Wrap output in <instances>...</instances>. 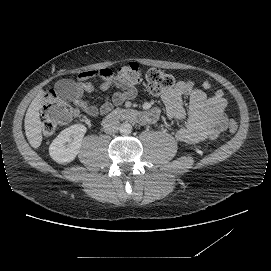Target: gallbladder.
Masks as SVG:
<instances>
[{"mask_svg":"<svg viewBox=\"0 0 271 271\" xmlns=\"http://www.w3.org/2000/svg\"><path fill=\"white\" fill-rule=\"evenodd\" d=\"M55 96L63 104L74 102L78 96V89L70 80H59L55 84Z\"/></svg>","mask_w":271,"mask_h":271,"instance_id":"bac80fb5","label":"gallbladder"}]
</instances>
